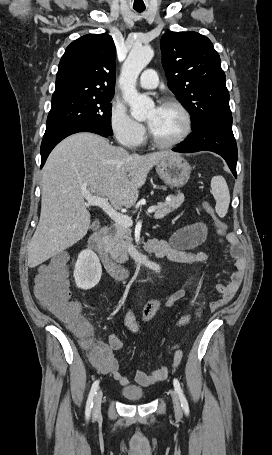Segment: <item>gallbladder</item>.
<instances>
[{
    "label": "gallbladder",
    "mask_w": 272,
    "mask_h": 455,
    "mask_svg": "<svg viewBox=\"0 0 272 455\" xmlns=\"http://www.w3.org/2000/svg\"><path fill=\"white\" fill-rule=\"evenodd\" d=\"M98 228H99V225H98V224H95V225L93 226V229H94V230H97Z\"/></svg>",
    "instance_id": "gallbladder-1"
}]
</instances>
